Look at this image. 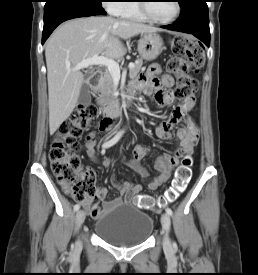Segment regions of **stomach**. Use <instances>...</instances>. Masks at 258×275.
I'll return each mask as SVG.
<instances>
[{"instance_id":"stomach-1","label":"stomach","mask_w":258,"mask_h":275,"mask_svg":"<svg viewBox=\"0 0 258 275\" xmlns=\"http://www.w3.org/2000/svg\"><path fill=\"white\" fill-rule=\"evenodd\" d=\"M163 49V40L157 33H145L138 42V53L146 61L155 60Z\"/></svg>"}]
</instances>
